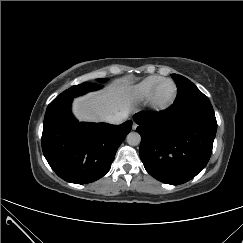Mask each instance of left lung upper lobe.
<instances>
[{"label":"left lung upper lobe","instance_id":"left-lung-upper-lobe-1","mask_svg":"<svg viewBox=\"0 0 243 243\" xmlns=\"http://www.w3.org/2000/svg\"><path fill=\"white\" fill-rule=\"evenodd\" d=\"M177 88L188 89L187 95L183 97L185 101V111L194 115H215L213 107L207 98L190 80L178 75L172 74Z\"/></svg>","mask_w":243,"mask_h":243}]
</instances>
